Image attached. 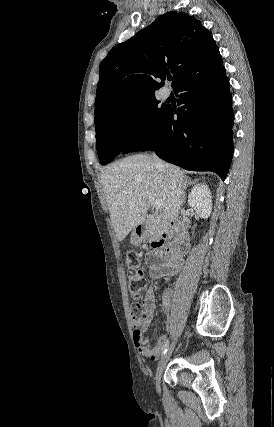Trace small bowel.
Wrapping results in <instances>:
<instances>
[{"mask_svg": "<svg viewBox=\"0 0 274 427\" xmlns=\"http://www.w3.org/2000/svg\"><path fill=\"white\" fill-rule=\"evenodd\" d=\"M147 264L152 278H166L178 273L183 265V258L178 251L173 250L170 243L163 250H151L147 255ZM162 305L165 312L171 309V294L166 291L162 296ZM142 309L144 317L139 322L135 323L134 340L138 351L143 359L155 360L163 351L167 337L165 335L158 338L154 345L149 346L144 332L150 327L155 314V296L153 289L148 287L145 290ZM170 323H167V328Z\"/></svg>", "mask_w": 274, "mask_h": 427, "instance_id": "1", "label": "small bowel"}]
</instances>
